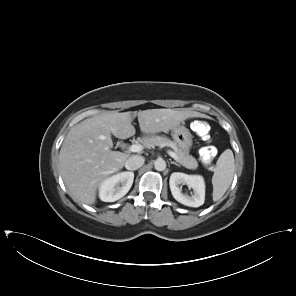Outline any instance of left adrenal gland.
<instances>
[{
	"instance_id": "a2214340",
	"label": "left adrenal gland",
	"mask_w": 296,
	"mask_h": 296,
	"mask_svg": "<svg viewBox=\"0 0 296 296\" xmlns=\"http://www.w3.org/2000/svg\"><path fill=\"white\" fill-rule=\"evenodd\" d=\"M170 163H171V164H174V165H176V166H178V167H180V165H179L178 163L174 162V161H170Z\"/></svg>"
}]
</instances>
